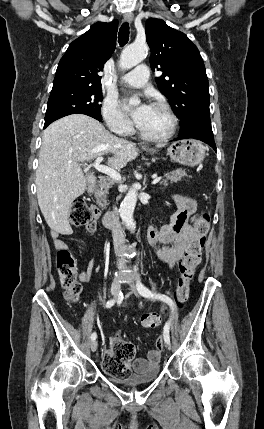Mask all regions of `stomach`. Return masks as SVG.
Returning a JSON list of instances; mask_svg holds the SVG:
<instances>
[{"label": "stomach", "instance_id": "obj_1", "mask_svg": "<svg viewBox=\"0 0 264 429\" xmlns=\"http://www.w3.org/2000/svg\"><path fill=\"white\" fill-rule=\"evenodd\" d=\"M154 153V151H151ZM170 158L186 166H195L205 158V147L197 140H180L173 142L167 149Z\"/></svg>", "mask_w": 264, "mask_h": 429}]
</instances>
